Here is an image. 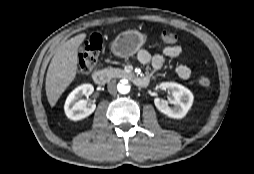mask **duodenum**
Masks as SVG:
<instances>
[{
	"instance_id": "obj_1",
	"label": "duodenum",
	"mask_w": 254,
	"mask_h": 174,
	"mask_svg": "<svg viewBox=\"0 0 254 174\" xmlns=\"http://www.w3.org/2000/svg\"><path fill=\"white\" fill-rule=\"evenodd\" d=\"M92 79H93L95 84L102 86L107 82L108 76L104 71L96 70L92 74ZM133 82L137 87L143 88V87H146L148 85L149 77H147V76H136V77L133 78Z\"/></svg>"
}]
</instances>
